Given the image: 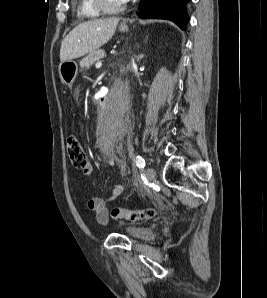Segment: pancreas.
I'll return each mask as SVG.
<instances>
[{
    "mask_svg": "<svg viewBox=\"0 0 267 298\" xmlns=\"http://www.w3.org/2000/svg\"><path fill=\"white\" fill-rule=\"evenodd\" d=\"M105 56V51L103 49H97L90 52L86 57L80 62L81 68H89L94 63L98 62L101 58Z\"/></svg>",
    "mask_w": 267,
    "mask_h": 298,
    "instance_id": "cf45deb5",
    "label": "pancreas"
}]
</instances>
